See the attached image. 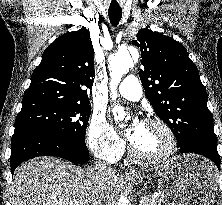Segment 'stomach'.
I'll return each instance as SVG.
<instances>
[{"label":"stomach","mask_w":222,"mask_h":205,"mask_svg":"<svg viewBox=\"0 0 222 205\" xmlns=\"http://www.w3.org/2000/svg\"><path fill=\"white\" fill-rule=\"evenodd\" d=\"M152 176L165 205H210L217 191V172L211 162L196 156L173 157L157 167ZM148 176L133 174L140 182Z\"/></svg>","instance_id":"obj_1"}]
</instances>
